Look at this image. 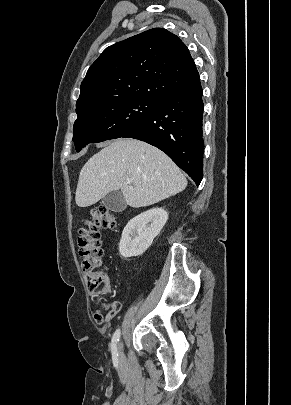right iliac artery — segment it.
Instances as JSON below:
<instances>
[{
  "mask_svg": "<svg viewBox=\"0 0 291 405\" xmlns=\"http://www.w3.org/2000/svg\"><path fill=\"white\" fill-rule=\"evenodd\" d=\"M119 338H120V329H117L113 334L111 341V351L114 358H117L118 356L117 343L119 342Z\"/></svg>",
  "mask_w": 291,
  "mask_h": 405,
  "instance_id": "obj_1",
  "label": "right iliac artery"
}]
</instances>
